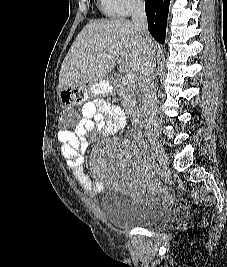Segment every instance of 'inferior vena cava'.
Listing matches in <instances>:
<instances>
[{"label":"inferior vena cava","instance_id":"602c4592","mask_svg":"<svg viewBox=\"0 0 227 267\" xmlns=\"http://www.w3.org/2000/svg\"><path fill=\"white\" fill-rule=\"evenodd\" d=\"M132 24L134 29L140 34L143 49V62L139 76V88L143 102V116L147 137L158 134V115L156 104V84H155V53L147 44L149 37L147 18L142 0H133L132 4Z\"/></svg>","mask_w":227,"mask_h":267}]
</instances>
